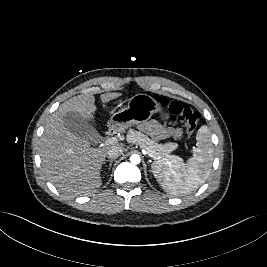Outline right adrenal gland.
I'll list each match as a JSON object with an SVG mask.
<instances>
[{
  "mask_svg": "<svg viewBox=\"0 0 267 267\" xmlns=\"http://www.w3.org/2000/svg\"><path fill=\"white\" fill-rule=\"evenodd\" d=\"M115 159L106 160L104 163L109 162V170L111 169L112 163Z\"/></svg>",
  "mask_w": 267,
  "mask_h": 267,
  "instance_id": "2a0ac1e0",
  "label": "right adrenal gland"
}]
</instances>
